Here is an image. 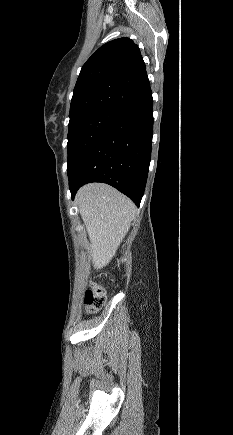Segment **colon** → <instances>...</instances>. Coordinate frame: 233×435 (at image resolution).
Listing matches in <instances>:
<instances>
[{
    "label": "colon",
    "instance_id": "1",
    "mask_svg": "<svg viewBox=\"0 0 233 435\" xmlns=\"http://www.w3.org/2000/svg\"><path fill=\"white\" fill-rule=\"evenodd\" d=\"M104 303V289L100 285L92 283L84 294V304L86 311L88 313H95L103 307Z\"/></svg>",
    "mask_w": 233,
    "mask_h": 435
}]
</instances>
